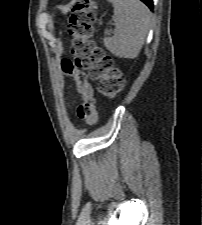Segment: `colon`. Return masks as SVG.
Returning <instances> with one entry per match:
<instances>
[{"label":"colon","mask_w":202,"mask_h":225,"mask_svg":"<svg viewBox=\"0 0 202 225\" xmlns=\"http://www.w3.org/2000/svg\"><path fill=\"white\" fill-rule=\"evenodd\" d=\"M94 10L92 0H80L74 6L69 25L72 59L62 64L64 72L74 77L81 94L77 114L89 125H95L98 120L94 89L89 79L97 80L98 91L109 99L116 97L124 88L121 70L115 66L114 59L91 39Z\"/></svg>","instance_id":"obj_1"}]
</instances>
